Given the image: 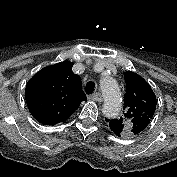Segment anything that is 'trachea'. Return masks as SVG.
Here are the masks:
<instances>
[{
  "label": "trachea",
  "instance_id": "3493384b",
  "mask_svg": "<svg viewBox=\"0 0 177 177\" xmlns=\"http://www.w3.org/2000/svg\"><path fill=\"white\" fill-rule=\"evenodd\" d=\"M95 90V84L92 81L87 82L85 91L87 94H92Z\"/></svg>",
  "mask_w": 177,
  "mask_h": 177
}]
</instances>
